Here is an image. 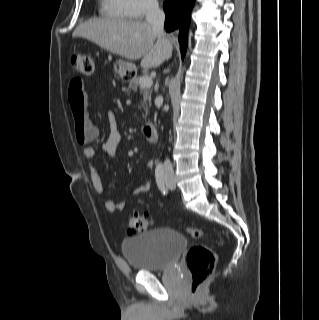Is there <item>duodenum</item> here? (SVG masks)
I'll list each match as a JSON object with an SVG mask.
<instances>
[{
  "label": "duodenum",
  "instance_id": "obj_1",
  "mask_svg": "<svg viewBox=\"0 0 319 320\" xmlns=\"http://www.w3.org/2000/svg\"><path fill=\"white\" fill-rule=\"evenodd\" d=\"M143 133L149 142H156L158 133L156 126L153 123H148L143 126Z\"/></svg>",
  "mask_w": 319,
  "mask_h": 320
}]
</instances>
